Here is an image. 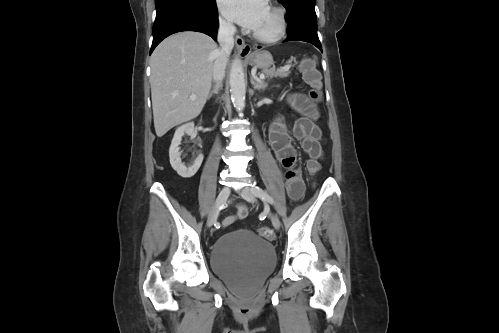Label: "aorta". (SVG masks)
I'll list each match as a JSON object with an SVG mask.
<instances>
[{
  "mask_svg": "<svg viewBox=\"0 0 499 333\" xmlns=\"http://www.w3.org/2000/svg\"><path fill=\"white\" fill-rule=\"evenodd\" d=\"M231 99L237 111L242 112L245 108L246 84L242 63L239 57H235L229 77Z\"/></svg>",
  "mask_w": 499,
  "mask_h": 333,
  "instance_id": "aorta-1",
  "label": "aorta"
}]
</instances>
